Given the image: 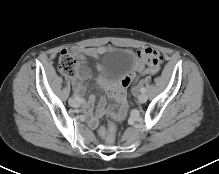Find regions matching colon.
I'll return each instance as SVG.
<instances>
[{
  "label": "colon",
  "instance_id": "colon-1",
  "mask_svg": "<svg viewBox=\"0 0 219 174\" xmlns=\"http://www.w3.org/2000/svg\"><path fill=\"white\" fill-rule=\"evenodd\" d=\"M59 70L62 74L67 76H73L77 72V61L66 51H63L59 58L58 64ZM159 73L158 67H147L140 72V75H156ZM98 135L106 140V142L111 145L115 142L116 138V126L113 123L107 126H102L98 130Z\"/></svg>",
  "mask_w": 219,
  "mask_h": 174
}]
</instances>
